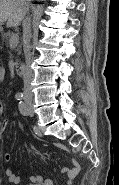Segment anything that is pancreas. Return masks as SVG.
I'll return each instance as SVG.
<instances>
[{
  "label": "pancreas",
  "instance_id": "obj_1",
  "mask_svg": "<svg viewBox=\"0 0 119 185\" xmlns=\"http://www.w3.org/2000/svg\"><path fill=\"white\" fill-rule=\"evenodd\" d=\"M14 34L12 32H8V33H5L3 34V39L4 41L7 43L8 40H10V38L13 36Z\"/></svg>",
  "mask_w": 119,
  "mask_h": 185
}]
</instances>
